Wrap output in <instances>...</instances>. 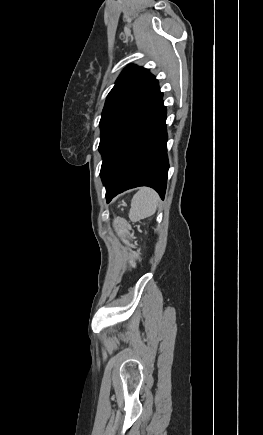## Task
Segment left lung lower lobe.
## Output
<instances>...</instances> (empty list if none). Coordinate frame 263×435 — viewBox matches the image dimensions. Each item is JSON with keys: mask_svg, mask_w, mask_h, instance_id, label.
Masks as SVG:
<instances>
[{"mask_svg": "<svg viewBox=\"0 0 263 435\" xmlns=\"http://www.w3.org/2000/svg\"><path fill=\"white\" fill-rule=\"evenodd\" d=\"M162 97L161 93L124 129L104 157L100 174L107 202L137 186H150L164 198L169 164Z\"/></svg>", "mask_w": 263, "mask_h": 435, "instance_id": "0a47b994", "label": "left lung lower lobe"}]
</instances>
